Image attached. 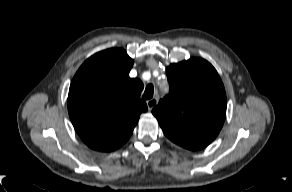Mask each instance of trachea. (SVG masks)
I'll return each instance as SVG.
<instances>
[{
  "instance_id": "obj_1",
  "label": "trachea",
  "mask_w": 292,
  "mask_h": 192,
  "mask_svg": "<svg viewBox=\"0 0 292 192\" xmlns=\"http://www.w3.org/2000/svg\"><path fill=\"white\" fill-rule=\"evenodd\" d=\"M154 87L152 84H148L142 96L143 99L148 100L153 97Z\"/></svg>"
}]
</instances>
